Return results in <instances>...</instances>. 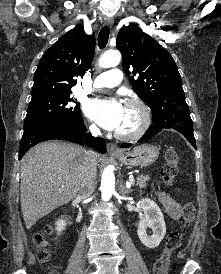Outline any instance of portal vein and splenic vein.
Here are the masks:
<instances>
[{
  "mask_svg": "<svg viewBox=\"0 0 221 274\" xmlns=\"http://www.w3.org/2000/svg\"><path fill=\"white\" fill-rule=\"evenodd\" d=\"M129 183H130V184H134V178H133L132 175L129 177Z\"/></svg>",
  "mask_w": 221,
  "mask_h": 274,
  "instance_id": "obj_1",
  "label": "portal vein and splenic vein"
}]
</instances>
